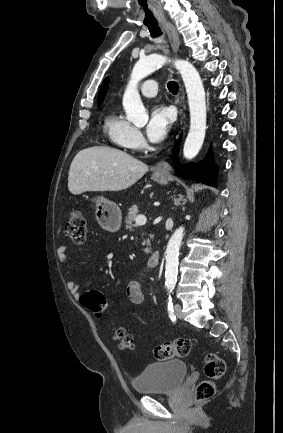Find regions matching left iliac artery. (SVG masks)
Returning a JSON list of instances; mask_svg holds the SVG:
<instances>
[{
    "label": "left iliac artery",
    "instance_id": "left-iliac-artery-1",
    "mask_svg": "<svg viewBox=\"0 0 283 433\" xmlns=\"http://www.w3.org/2000/svg\"><path fill=\"white\" fill-rule=\"evenodd\" d=\"M168 313H169L170 319L174 322L176 320V316L174 315V309H173V303H172L171 296H169V298H168Z\"/></svg>",
    "mask_w": 283,
    "mask_h": 433
}]
</instances>
